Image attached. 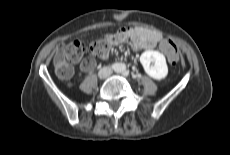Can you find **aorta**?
Returning <instances> with one entry per match:
<instances>
[{"mask_svg":"<svg viewBox=\"0 0 230 155\" xmlns=\"http://www.w3.org/2000/svg\"><path fill=\"white\" fill-rule=\"evenodd\" d=\"M125 68H126L125 65H122V70H125Z\"/></svg>","mask_w":230,"mask_h":155,"instance_id":"762f6f07","label":"aorta"}]
</instances>
